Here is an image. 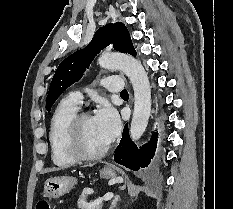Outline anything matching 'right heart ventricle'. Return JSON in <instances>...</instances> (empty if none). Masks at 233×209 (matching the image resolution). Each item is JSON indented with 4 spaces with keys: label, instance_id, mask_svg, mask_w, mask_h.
Listing matches in <instances>:
<instances>
[{
    "label": "right heart ventricle",
    "instance_id": "e07e8e85",
    "mask_svg": "<svg viewBox=\"0 0 233 209\" xmlns=\"http://www.w3.org/2000/svg\"><path fill=\"white\" fill-rule=\"evenodd\" d=\"M77 114V106L63 100L55 109L49 129V144L53 163L58 167H69L77 160L66 150L65 134L71 119Z\"/></svg>",
    "mask_w": 233,
    "mask_h": 209
}]
</instances>
